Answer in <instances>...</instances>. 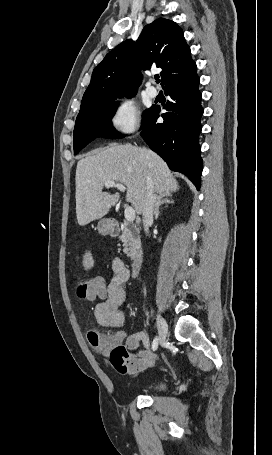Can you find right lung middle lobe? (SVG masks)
<instances>
[{"mask_svg": "<svg viewBox=\"0 0 272 455\" xmlns=\"http://www.w3.org/2000/svg\"><path fill=\"white\" fill-rule=\"evenodd\" d=\"M117 106V102L109 101L91 110L78 114L74 128L75 154H77L81 149H83L87 144H89L97 137L108 139H117L123 137L113 128L111 124V118L113 117ZM152 109L153 107L147 109L143 114V124L148 119Z\"/></svg>", "mask_w": 272, "mask_h": 455, "instance_id": "dd1d6c3e", "label": "right lung middle lobe"}]
</instances>
